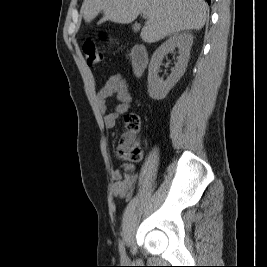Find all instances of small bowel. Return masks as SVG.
<instances>
[{
    "label": "small bowel",
    "instance_id": "obj_1",
    "mask_svg": "<svg viewBox=\"0 0 267 267\" xmlns=\"http://www.w3.org/2000/svg\"><path fill=\"white\" fill-rule=\"evenodd\" d=\"M115 98L118 102L114 111H106V103L110 98ZM99 108L103 112L104 125L107 129L116 126L120 115L128 112L132 105V95L127 81L120 75L111 76L97 93ZM114 180L112 192L115 197L129 198L132 194V186L135 182V175L132 167L125 165L122 170L112 172Z\"/></svg>",
    "mask_w": 267,
    "mask_h": 267
}]
</instances>
